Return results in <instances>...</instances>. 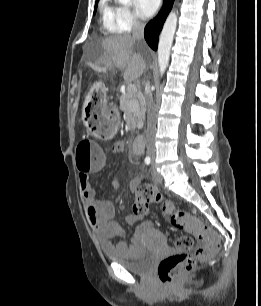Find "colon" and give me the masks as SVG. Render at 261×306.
I'll return each instance as SVG.
<instances>
[{"label":"colon","instance_id":"1","mask_svg":"<svg viewBox=\"0 0 261 306\" xmlns=\"http://www.w3.org/2000/svg\"><path fill=\"white\" fill-rule=\"evenodd\" d=\"M94 130L101 139H111L115 130L112 124L96 126ZM103 151L89 140H82L76 147L77 167L87 171L99 165L104 160ZM154 201H162L155 186L144 184L138 188L133 206L134 214L145 217L149 214V206ZM162 209L171 224L187 233L177 237L176 253L165 257L158 265V276L163 283L172 284L182 275L192 271L198 262L208 260L220 247V237L210 227L203 224L197 217L182 210H176L172 205L163 201ZM195 239L203 244L194 253L190 251L195 246Z\"/></svg>","mask_w":261,"mask_h":306}]
</instances>
